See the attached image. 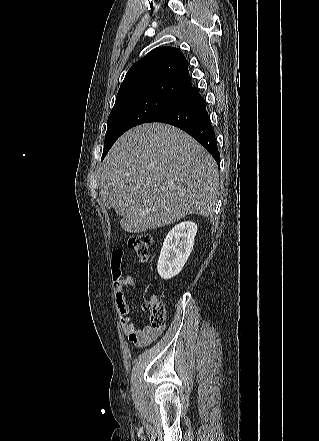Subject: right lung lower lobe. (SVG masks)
Instances as JSON below:
<instances>
[{"label": "right lung lower lobe", "instance_id": "98d812e1", "mask_svg": "<svg viewBox=\"0 0 319 441\" xmlns=\"http://www.w3.org/2000/svg\"><path fill=\"white\" fill-rule=\"evenodd\" d=\"M149 122H162L176 126L195 138L219 162L215 133L206 111L205 100L191 87L178 100L171 103Z\"/></svg>", "mask_w": 319, "mask_h": 441}]
</instances>
